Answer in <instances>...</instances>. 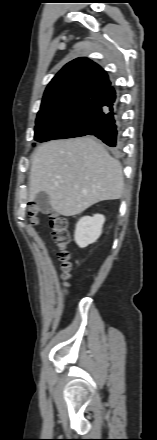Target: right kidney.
Masks as SVG:
<instances>
[{
  "label": "right kidney",
  "mask_w": 157,
  "mask_h": 440,
  "mask_svg": "<svg viewBox=\"0 0 157 440\" xmlns=\"http://www.w3.org/2000/svg\"><path fill=\"white\" fill-rule=\"evenodd\" d=\"M105 222V217L101 214H95L92 217H82L75 229V242L80 248H85L88 245L97 241L102 233V227Z\"/></svg>",
  "instance_id": "ca27d5eb"
}]
</instances>
